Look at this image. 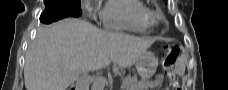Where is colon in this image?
<instances>
[{
  "mask_svg": "<svg viewBox=\"0 0 228 90\" xmlns=\"http://www.w3.org/2000/svg\"><path fill=\"white\" fill-rule=\"evenodd\" d=\"M177 57H178L177 46H172L166 50L165 56H164V66H165L167 77L169 79V86H170V89L172 90H179L176 74L173 69V65Z\"/></svg>",
  "mask_w": 228,
  "mask_h": 90,
  "instance_id": "colon-1",
  "label": "colon"
}]
</instances>
